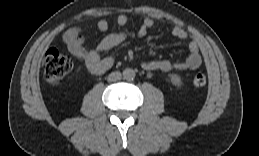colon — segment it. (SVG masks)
Segmentation results:
<instances>
[{
	"label": "colon",
	"instance_id": "1",
	"mask_svg": "<svg viewBox=\"0 0 259 156\" xmlns=\"http://www.w3.org/2000/svg\"><path fill=\"white\" fill-rule=\"evenodd\" d=\"M72 68L71 59L57 49L51 48L45 53L43 58V74L50 85H59L71 72ZM206 82L207 77L204 73H198L193 78V85L195 87H202Z\"/></svg>",
	"mask_w": 259,
	"mask_h": 156
}]
</instances>
